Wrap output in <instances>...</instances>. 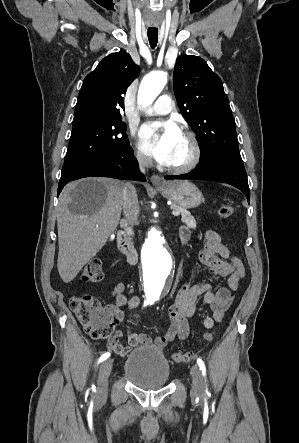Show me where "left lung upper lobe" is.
<instances>
[{
	"label": "left lung upper lobe",
	"instance_id": "left-lung-upper-lobe-1",
	"mask_svg": "<svg viewBox=\"0 0 299 443\" xmlns=\"http://www.w3.org/2000/svg\"><path fill=\"white\" fill-rule=\"evenodd\" d=\"M173 87L180 111L200 141V162L215 156L241 159L222 81L207 63L198 56H179Z\"/></svg>",
	"mask_w": 299,
	"mask_h": 443
}]
</instances>
